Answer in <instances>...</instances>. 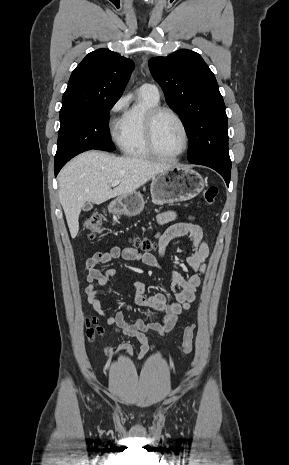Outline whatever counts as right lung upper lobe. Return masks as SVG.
Instances as JSON below:
<instances>
[{"label": "right lung upper lobe", "instance_id": "1", "mask_svg": "<svg viewBox=\"0 0 289 465\" xmlns=\"http://www.w3.org/2000/svg\"><path fill=\"white\" fill-rule=\"evenodd\" d=\"M133 67L132 60L107 49L89 53L72 72L60 111L119 99Z\"/></svg>", "mask_w": 289, "mask_h": 465}]
</instances>
